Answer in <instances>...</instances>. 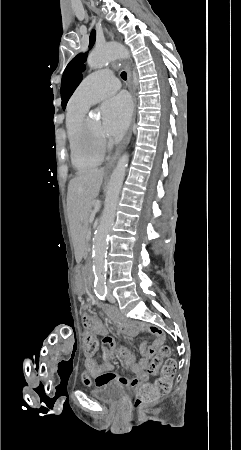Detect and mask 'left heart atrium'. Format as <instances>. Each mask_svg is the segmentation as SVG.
Listing matches in <instances>:
<instances>
[{
    "instance_id": "left-heart-atrium-1",
    "label": "left heart atrium",
    "mask_w": 241,
    "mask_h": 450,
    "mask_svg": "<svg viewBox=\"0 0 241 450\" xmlns=\"http://www.w3.org/2000/svg\"><path fill=\"white\" fill-rule=\"evenodd\" d=\"M105 110L109 114L107 127L114 137H120L130 124L133 106L130 97L120 93L105 104Z\"/></svg>"
}]
</instances>
